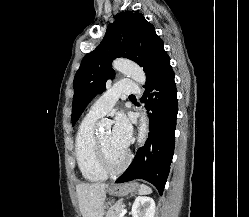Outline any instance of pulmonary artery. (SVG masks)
<instances>
[{"label": "pulmonary artery", "mask_w": 249, "mask_h": 217, "mask_svg": "<svg viewBox=\"0 0 249 217\" xmlns=\"http://www.w3.org/2000/svg\"><path fill=\"white\" fill-rule=\"evenodd\" d=\"M140 88L132 80L118 82L105 92L90 108L88 115L99 118L107 114L120 97L140 94Z\"/></svg>", "instance_id": "pulmonary-artery-1"}]
</instances>
